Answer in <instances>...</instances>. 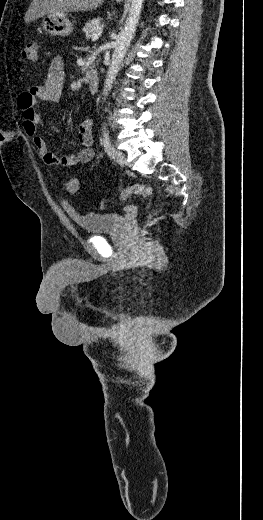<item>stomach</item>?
<instances>
[{
	"mask_svg": "<svg viewBox=\"0 0 263 520\" xmlns=\"http://www.w3.org/2000/svg\"><path fill=\"white\" fill-rule=\"evenodd\" d=\"M118 2L121 0H117ZM42 29L53 36H68L73 32V24L64 12L46 14L42 18Z\"/></svg>",
	"mask_w": 263,
	"mask_h": 520,
	"instance_id": "stomach-1",
	"label": "stomach"
}]
</instances>
